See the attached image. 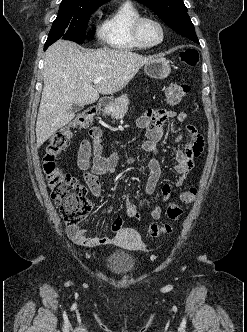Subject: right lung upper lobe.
Returning a JSON list of instances; mask_svg holds the SVG:
<instances>
[{
    "instance_id": "right-lung-upper-lobe-1",
    "label": "right lung upper lobe",
    "mask_w": 247,
    "mask_h": 332,
    "mask_svg": "<svg viewBox=\"0 0 247 332\" xmlns=\"http://www.w3.org/2000/svg\"><path fill=\"white\" fill-rule=\"evenodd\" d=\"M63 1H76V2H87V3H98L104 4L110 0H63Z\"/></svg>"
}]
</instances>
